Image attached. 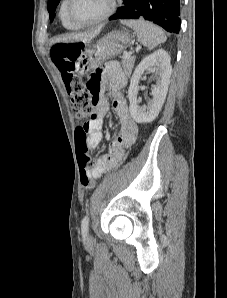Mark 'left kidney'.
I'll use <instances>...</instances> for the list:
<instances>
[{
    "instance_id": "1",
    "label": "left kidney",
    "mask_w": 227,
    "mask_h": 298,
    "mask_svg": "<svg viewBox=\"0 0 227 298\" xmlns=\"http://www.w3.org/2000/svg\"><path fill=\"white\" fill-rule=\"evenodd\" d=\"M150 68L158 70L156 86L151 89L153 98L147 106L140 107L137 100L139 81L144 72ZM171 72L170 56L163 49L155 51L139 63L131 77L128 89L130 114L137 123L150 122L158 116L167 95Z\"/></svg>"
}]
</instances>
